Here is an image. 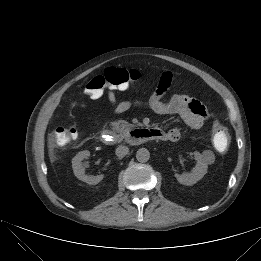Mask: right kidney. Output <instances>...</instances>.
Returning a JSON list of instances; mask_svg holds the SVG:
<instances>
[{"mask_svg":"<svg viewBox=\"0 0 261 261\" xmlns=\"http://www.w3.org/2000/svg\"><path fill=\"white\" fill-rule=\"evenodd\" d=\"M90 155V152L85 150L79 152L73 159H72V168L74 175L81 181L86 182L91 185L98 184L104 178V175H97V176H88L85 174V167L82 164L84 158H87Z\"/></svg>","mask_w":261,"mask_h":261,"instance_id":"obj_1","label":"right kidney"}]
</instances>
